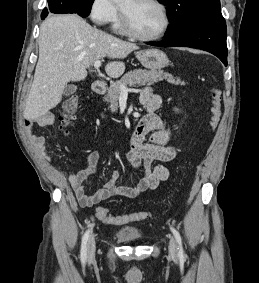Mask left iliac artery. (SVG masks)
<instances>
[{
	"label": "left iliac artery",
	"mask_w": 259,
	"mask_h": 283,
	"mask_svg": "<svg viewBox=\"0 0 259 283\" xmlns=\"http://www.w3.org/2000/svg\"><path fill=\"white\" fill-rule=\"evenodd\" d=\"M170 229H171V231H172V233H173V235H174V237H175V239H176V241L178 243V255H179V257H183V247H182L181 236H180L179 232L175 228L170 227Z\"/></svg>",
	"instance_id": "1"
}]
</instances>
